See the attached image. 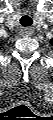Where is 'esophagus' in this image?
Instances as JSON below:
<instances>
[{
  "label": "esophagus",
  "mask_w": 53,
  "mask_h": 120,
  "mask_svg": "<svg viewBox=\"0 0 53 120\" xmlns=\"http://www.w3.org/2000/svg\"><path fill=\"white\" fill-rule=\"evenodd\" d=\"M22 35H25V36H29V35H31V29L30 28H24L23 30H22V33H21Z\"/></svg>",
  "instance_id": "1"
}]
</instances>
